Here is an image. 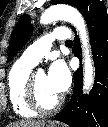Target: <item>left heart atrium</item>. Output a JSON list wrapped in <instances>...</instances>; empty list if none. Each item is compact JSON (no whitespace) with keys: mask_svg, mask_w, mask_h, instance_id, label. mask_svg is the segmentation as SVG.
<instances>
[{"mask_svg":"<svg viewBox=\"0 0 108 127\" xmlns=\"http://www.w3.org/2000/svg\"><path fill=\"white\" fill-rule=\"evenodd\" d=\"M71 82L70 71L62 60L53 62L47 73V83L50 89L60 95L65 92Z\"/></svg>","mask_w":108,"mask_h":127,"instance_id":"1","label":"left heart atrium"}]
</instances>
